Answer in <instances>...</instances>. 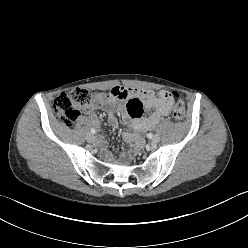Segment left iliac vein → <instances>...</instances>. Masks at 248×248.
<instances>
[{
    "label": "left iliac vein",
    "instance_id": "left-iliac-vein-1",
    "mask_svg": "<svg viewBox=\"0 0 248 248\" xmlns=\"http://www.w3.org/2000/svg\"><path fill=\"white\" fill-rule=\"evenodd\" d=\"M160 141V137L158 135H154L152 138H151V144L152 145H156L157 143H159Z\"/></svg>",
    "mask_w": 248,
    "mask_h": 248
}]
</instances>
